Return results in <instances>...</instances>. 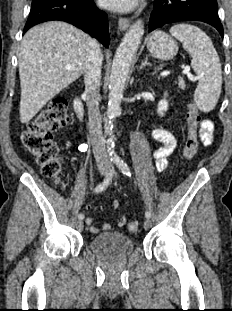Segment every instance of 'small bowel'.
<instances>
[{
	"mask_svg": "<svg viewBox=\"0 0 232 311\" xmlns=\"http://www.w3.org/2000/svg\"><path fill=\"white\" fill-rule=\"evenodd\" d=\"M213 129L214 124L211 120H204L201 124V131H200V139L204 145H211L213 143ZM152 137L162 144L161 147L155 149L153 151V157L155 159L156 169L158 171H162L166 168L168 163L169 156L174 152L177 141L174 135L161 127H154L151 131ZM118 202L115 201L113 206L116 208L118 207ZM86 224L90 226V231L94 234L99 233L103 230L110 229V224L106 223L102 226H95L93 225V219L91 217H87L85 220Z\"/></svg>",
	"mask_w": 232,
	"mask_h": 311,
	"instance_id": "small-bowel-1",
	"label": "small bowel"
}]
</instances>
